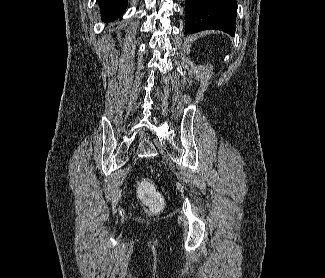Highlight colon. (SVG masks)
<instances>
[{"mask_svg":"<svg viewBox=\"0 0 325 278\" xmlns=\"http://www.w3.org/2000/svg\"><path fill=\"white\" fill-rule=\"evenodd\" d=\"M138 193L140 200L147 206L150 212L155 213L162 208L164 198L151 181L147 179L140 180L138 183Z\"/></svg>","mask_w":325,"mask_h":278,"instance_id":"5ec220e1","label":"colon"}]
</instances>
